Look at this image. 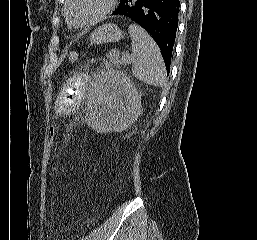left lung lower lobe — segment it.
<instances>
[{"label":"left lung lower lobe","mask_w":257,"mask_h":240,"mask_svg":"<svg viewBox=\"0 0 257 240\" xmlns=\"http://www.w3.org/2000/svg\"><path fill=\"white\" fill-rule=\"evenodd\" d=\"M179 0H120L112 15L128 18L144 28L159 46L167 74L178 27Z\"/></svg>","instance_id":"obj_1"}]
</instances>
